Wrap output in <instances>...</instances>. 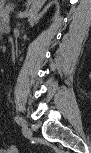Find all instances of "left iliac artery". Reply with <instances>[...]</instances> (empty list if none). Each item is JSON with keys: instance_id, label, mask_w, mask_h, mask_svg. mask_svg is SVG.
Instances as JSON below:
<instances>
[{"instance_id": "obj_1", "label": "left iliac artery", "mask_w": 91, "mask_h": 153, "mask_svg": "<svg viewBox=\"0 0 91 153\" xmlns=\"http://www.w3.org/2000/svg\"><path fill=\"white\" fill-rule=\"evenodd\" d=\"M14 120L19 124V125H22L24 123V120L19 117V116H15L14 117ZM27 125L26 124H23V127H26Z\"/></svg>"}]
</instances>
